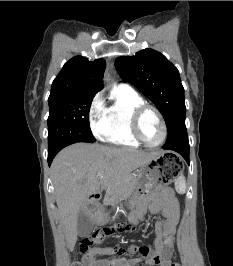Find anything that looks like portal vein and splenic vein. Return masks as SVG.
I'll return each instance as SVG.
<instances>
[{"label": "portal vein and splenic vein", "instance_id": "obj_1", "mask_svg": "<svg viewBox=\"0 0 233 266\" xmlns=\"http://www.w3.org/2000/svg\"><path fill=\"white\" fill-rule=\"evenodd\" d=\"M97 177H101V174H97Z\"/></svg>", "mask_w": 233, "mask_h": 266}]
</instances>
